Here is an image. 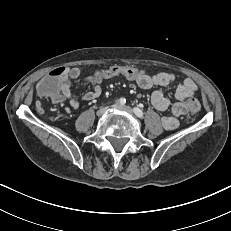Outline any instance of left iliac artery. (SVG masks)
Masks as SVG:
<instances>
[{"mask_svg":"<svg viewBox=\"0 0 231 231\" xmlns=\"http://www.w3.org/2000/svg\"><path fill=\"white\" fill-rule=\"evenodd\" d=\"M133 111H134L135 115L138 116L139 118H142V117H143V111H142L141 109L135 107V108L133 109Z\"/></svg>","mask_w":231,"mask_h":231,"instance_id":"1","label":"left iliac artery"}]
</instances>
